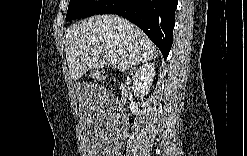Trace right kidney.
Here are the masks:
<instances>
[{
    "mask_svg": "<svg viewBox=\"0 0 247 156\" xmlns=\"http://www.w3.org/2000/svg\"><path fill=\"white\" fill-rule=\"evenodd\" d=\"M155 76V66L153 63L143 64L135 73L133 77V84L136 90L141 94H148ZM133 114L138 113L139 106L132 102L129 105Z\"/></svg>",
    "mask_w": 247,
    "mask_h": 156,
    "instance_id": "ca27d5eb",
    "label": "right kidney"
}]
</instances>
